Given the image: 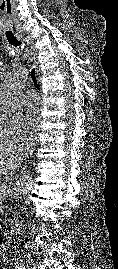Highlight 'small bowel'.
Wrapping results in <instances>:
<instances>
[{
  "instance_id": "1",
  "label": "small bowel",
  "mask_w": 118,
  "mask_h": 269,
  "mask_svg": "<svg viewBox=\"0 0 118 269\" xmlns=\"http://www.w3.org/2000/svg\"><path fill=\"white\" fill-rule=\"evenodd\" d=\"M6 262H7V260H6V259H4L3 263H6ZM3 269H5V268H3Z\"/></svg>"
}]
</instances>
